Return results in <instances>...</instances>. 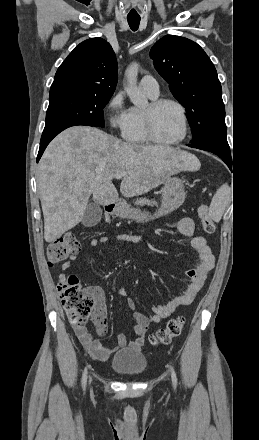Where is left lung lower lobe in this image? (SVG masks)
Listing matches in <instances>:
<instances>
[{
    "instance_id": "left-lung-lower-lobe-1",
    "label": "left lung lower lobe",
    "mask_w": 259,
    "mask_h": 440,
    "mask_svg": "<svg viewBox=\"0 0 259 440\" xmlns=\"http://www.w3.org/2000/svg\"><path fill=\"white\" fill-rule=\"evenodd\" d=\"M188 146L209 151L218 155L229 167L232 164L230 147L228 145L226 136H209L198 142L191 143Z\"/></svg>"
}]
</instances>
